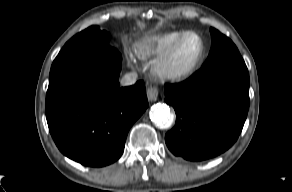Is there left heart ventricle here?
<instances>
[{"label": "left heart ventricle", "instance_id": "b2bd125f", "mask_svg": "<svg viewBox=\"0 0 292 192\" xmlns=\"http://www.w3.org/2000/svg\"><path fill=\"white\" fill-rule=\"evenodd\" d=\"M201 51V42L196 36H189L182 43L175 64L178 68H186L193 63Z\"/></svg>", "mask_w": 292, "mask_h": 192}]
</instances>
